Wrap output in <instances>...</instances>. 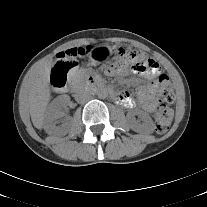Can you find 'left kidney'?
<instances>
[{"label":"left kidney","mask_w":207,"mask_h":207,"mask_svg":"<svg viewBox=\"0 0 207 207\" xmlns=\"http://www.w3.org/2000/svg\"><path fill=\"white\" fill-rule=\"evenodd\" d=\"M134 115H138L143 122L140 123L136 121L133 117ZM127 117L129 119L131 129L134 130L135 132L142 133V134L153 133L155 129V124L148 113L142 110H135L129 112Z\"/></svg>","instance_id":"left-kidney-1"}]
</instances>
